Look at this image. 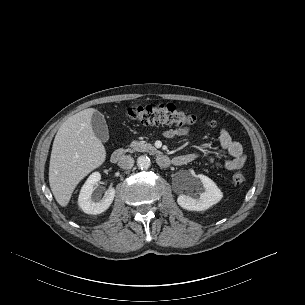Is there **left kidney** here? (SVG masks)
Masks as SVG:
<instances>
[{
	"label": "left kidney",
	"instance_id": "1",
	"mask_svg": "<svg viewBox=\"0 0 305 305\" xmlns=\"http://www.w3.org/2000/svg\"><path fill=\"white\" fill-rule=\"evenodd\" d=\"M186 189L192 192L195 189L199 190V197L193 198L192 196L180 194L177 198L178 204L189 211H203L218 203L223 193L217 185L205 175H197L187 182ZM201 186V188H200Z\"/></svg>",
	"mask_w": 305,
	"mask_h": 305
}]
</instances>
